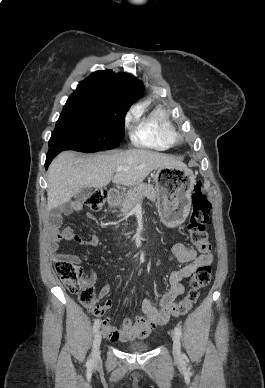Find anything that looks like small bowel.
Instances as JSON below:
<instances>
[{
    "label": "small bowel",
    "instance_id": "1",
    "mask_svg": "<svg viewBox=\"0 0 265 388\" xmlns=\"http://www.w3.org/2000/svg\"><path fill=\"white\" fill-rule=\"evenodd\" d=\"M83 210V205L79 201L73 202L69 207L62 212L63 215L72 213H80ZM62 214H54L50 219V227L53 232V241L51 249L55 261L64 259L77 266L82 263V259L71 254L59 252V243L61 240H74L80 244L96 247L102 244V239L99 236L93 235L89 239H82L75 235L70 228H66L62 233L59 232ZM87 218L95 220L92 213H86ZM173 254L178 262L184 264L178 270L172 271L169 275V287L162 295L158 306H154L150 300L143 299L141 302L142 316L136 317L134 320L125 319L120 327H115L109 317L104 318L101 322L103 333L106 338L111 341H126L132 338H144L154 330L164 326L170 319L173 307L176 305V299L183 294L184 286L182 281L190 277L199 266L210 265L213 261V256L208 254H198L194 249L186 247L184 244L177 243L172 248ZM97 281V273L94 269H90V276L85 280L87 285L93 286ZM111 291V285L105 284L100 292L99 299L105 298ZM112 306V301L107 300L102 306L92 304L89 306V311L94 315H103Z\"/></svg>",
    "mask_w": 265,
    "mask_h": 388
}]
</instances>
